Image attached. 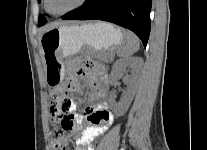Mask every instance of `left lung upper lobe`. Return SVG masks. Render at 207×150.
I'll use <instances>...</instances> for the list:
<instances>
[{"label":"left lung upper lobe","mask_w":207,"mask_h":150,"mask_svg":"<svg viewBox=\"0 0 207 150\" xmlns=\"http://www.w3.org/2000/svg\"><path fill=\"white\" fill-rule=\"evenodd\" d=\"M40 2V0H38ZM47 22L46 18L43 15H40L38 18V23L40 26L44 25Z\"/></svg>","instance_id":"5c2ea615"}]
</instances>
